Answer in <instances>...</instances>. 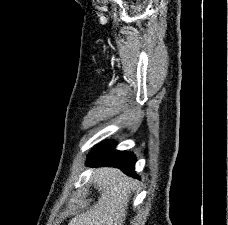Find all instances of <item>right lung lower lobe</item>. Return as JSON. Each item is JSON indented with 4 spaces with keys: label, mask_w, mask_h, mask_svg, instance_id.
Instances as JSON below:
<instances>
[{
    "label": "right lung lower lobe",
    "mask_w": 228,
    "mask_h": 225,
    "mask_svg": "<svg viewBox=\"0 0 228 225\" xmlns=\"http://www.w3.org/2000/svg\"><path fill=\"white\" fill-rule=\"evenodd\" d=\"M115 145L113 141H105L94 147L88 155L87 165L120 168L126 174L137 178L134 155L127 151H116Z\"/></svg>",
    "instance_id": "right-lung-lower-lobe-1"
}]
</instances>
